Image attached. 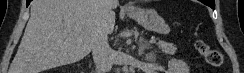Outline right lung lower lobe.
<instances>
[{
	"instance_id": "98d812e1",
	"label": "right lung lower lobe",
	"mask_w": 244,
	"mask_h": 73,
	"mask_svg": "<svg viewBox=\"0 0 244 73\" xmlns=\"http://www.w3.org/2000/svg\"><path fill=\"white\" fill-rule=\"evenodd\" d=\"M30 4V0H27V6Z\"/></svg>"
}]
</instances>
